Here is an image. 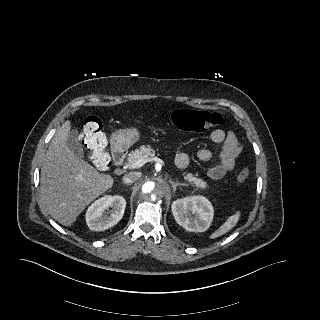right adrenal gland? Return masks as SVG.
I'll use <instances>...</instances> for the list:
<instances>
[{
	"mask_svg": "<svg viewBox=\"0 0 320 320\" xmlns=\"http://www.w3.org/2000/svg\"><path fill=\"white\" fill-rule=\"evenodd\" d=\"M124 185H126V186H129L128 184H126V183H123Z\"/></svg>",
	"mask_w": 320,
	"mask_h": 320,
	"instance_id": "1",
	"label": "right adrenal gland"
}]
</instances>
